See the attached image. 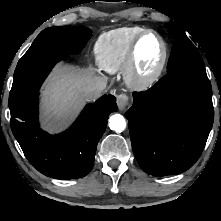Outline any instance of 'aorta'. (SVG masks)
<instances>
[{
    "label": "aorta",
    "mask_w": 221,
    "mask_h": 221,
    "mask_svg": "<svg viewBox=\"0 0 221 221\" xmlns=\"http://www.w3.org/2000/svg\"><path fill=\"white\" fill-rule=\"evenodd\" d=\"M109 127L115 132H122L126 128L125 118L120 114H113L109 118Z\"/></svg>",
    "instance_id": "obj_1"
}]
</instances>
